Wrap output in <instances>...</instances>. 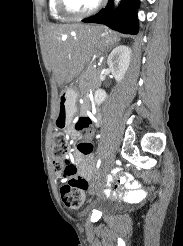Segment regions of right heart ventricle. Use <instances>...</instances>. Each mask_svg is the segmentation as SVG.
I'll use <instances>...</instances> for the list:
<instances>
[{"label": "right heart ventricle", "mask_w": 183, "mask_h": 246, "mask_svg": "<svg viewBox=\"0 0 183 246\" xmlns=\"http://www.w3.org/2000/svg\"><path fill=\"white\" fill-rule=\"evenodd\" d=\"M48 7H49L50 15L55 20L64 21L67 19V17L64 16L63 14H61L60 11L58 10L57 0H49L48 1Z\"/></svg>", "instance_id": "1"}]
</instances>
